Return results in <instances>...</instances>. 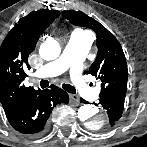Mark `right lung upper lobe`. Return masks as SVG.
I'll list each match as a JSON object with an SVG mask.
<instances>
[{
    "mask_svg": "<svg viewBox=\"0 0 147 147\" xmlns=\"http://www.w3.org/2000/svg\"><path fill=\"white\" fill-rule=\"evenodd\" d=\"M55 10L40 9L21 18L0 47V102L6 116L21 110L41 91L22 82L30 69L28 56L44 30L59 16Z\"/></svg>",
    "mask_w": 147,
    "mask_h": 147,
    "instance_id": "right-lung-upper-lobe-1",
    "label": "right lung upper lobe"
}]
</instances>
